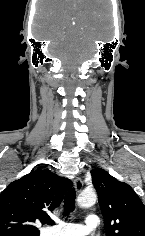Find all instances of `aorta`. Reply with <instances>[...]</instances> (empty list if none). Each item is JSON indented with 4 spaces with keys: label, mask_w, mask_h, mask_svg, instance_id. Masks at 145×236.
<instances>
[{
    "label": "aorta",
    "mask_w": 145,
    "mask_h": 236,
    "mask_svg": "<svg viewBox=\"0 0 145 236\" xmlns=\"http://www.w3.org/2000/svg\"><path fill=\"white\" fill-rule=\"evenodd\" d=\"M97 195L94 190L83 191L77 199L78 205L82 208L91 207L96 203Z\"/></svg>",
    "instance_id": "762f6f07"
}]
</instances>
